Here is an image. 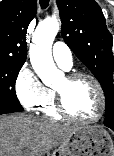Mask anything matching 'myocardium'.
<instances>
[{"label":"myocardium","instance_id":"obj_1","mask_svg":"<svg viewBox=\"0 0 114 156\" xmlns=\"http://www.w3.org/2000/svg\"><path fill=\"white\" fill-rule=\"evenodd\" d=\"M81 78H85V79H88L90 80L96 91H97V94H98V99H99V108H98V112L97 114L92 117V118H87V119H84V118H78L76 116H74L73 114H71L67 107H66V104H65V99H64V95L63 93L58 90V89H55V95H56V108H57V111L59 112V114L70 120V121H73V122H77V123H82V124H90V123H94V122H97L103 115L104 113V110H105V95H104V91H103V88L100 84V82L98 81V79L93 76L92 74L90 73H87V72H74V73H70L68 74L65 79L68 81V82H73V81H76L78 79H81Z\"/></svg>","mask_w":114,"mask_h":156}]
</instances>
